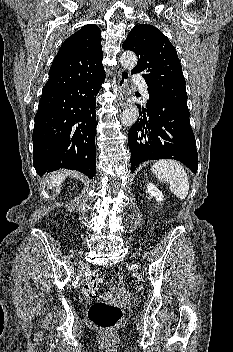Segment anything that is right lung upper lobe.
Listing matches in <instances>:
<instances>
[{"label":"right lung upper lobe","mask_w":233,"mask_h":352,"mask_svg":"<svg viewBox=\"0 0 233 352\" xmlns=\"http://www.w3.org/2000/svg\"><path fill=\"white\" fill-rule=\"evenodd\" d=\"M102 56L101 30L94 24L83 26L61 45L43 92L62 90L98 76L104 72Z\"/></svg>","instance_id":"1"}]
</instances>
